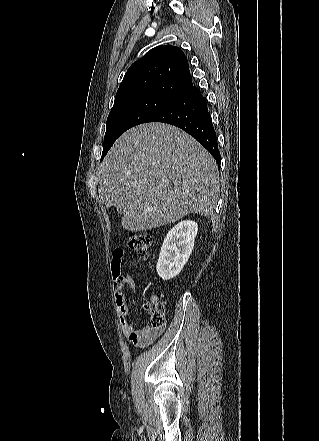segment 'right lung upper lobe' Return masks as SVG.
I'll return each instance as SVG.
<instances>
[{"label":"right lung upper lobe","mask_w":319,"mask_h":441,"mask_svg":"<svg viewBox=\"0 0 319 441\" xmlns=\"http://www.w3.org/2000/svg\"><path fill=\"white\" fill-rule=\"evenodd\" d=\"M192 84L184 52L175 46H158L129 67L115 96L114 106L140 97L174 102Z\"/></svg>","instance_id":"1"}]
</instances>
